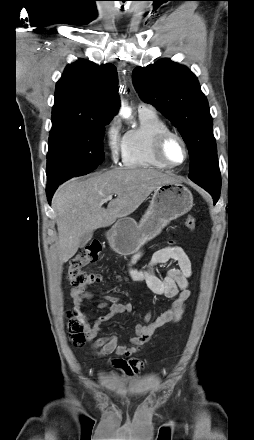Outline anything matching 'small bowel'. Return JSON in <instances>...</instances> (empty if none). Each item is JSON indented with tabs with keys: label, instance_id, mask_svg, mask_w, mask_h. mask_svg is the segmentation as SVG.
<instances>
[{
	"label": "small bowel",
	"instance_id": "small-bowel-1",
	"mask_svg": "<svg viewBox=\"0 0 254 440\" xmlns=\"http://www.w3.org/2000/svg\"><path fill=\"white\" fill-rule=\"evenodd\" d=\"M142 255L143 252L140 251L130 259L128 263L129 277L133 281L144 282L153 295L173 298L174 301L169 309L154 320L151 319L150 313L144 316V323H138L135 326V335L130 340L131 345H119L117 337L113 335L100 336L105 331L107 322L117 315L133 311L131 303L121 302L116 296H103V301L97 307L105 309L106 312L99 315L95 322L90 324L87 321L86 311L82 309V304L85 300L92 299L94 295L85 286H76L70 291L74 309L85 322L87 340L93 353L98 357L112 354L131 356L139 352L160 328L178 322L182 318L186 301L190 297L188 286L189 278L192 275L191 262L187 254L180 246L169 245L155 251L146 267L138 268L136 263ZM168 262H175L178 267L170 269L164 275H159L156 267ZM113 364L118 370L128 375H137L142 368V363L137 359L130 361L115 359Z\"/></svg>",
	"mask_w": 254,
	"mask_h": 440
}]
</instances>
